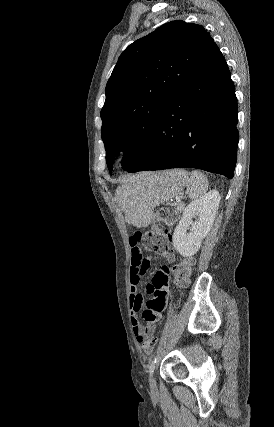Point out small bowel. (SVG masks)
I'll use <instances>...</instances> for the list:
<instances>
[{
  "label": "small bowel",
  "mask_w": 274,
  "mask_h": 427,
  "mask_svg": "<svg viewBox=\"0 0 274 427\" xmlns=\"http://www.w3.org/2000/svg\"><path fill=\"white\" fill-rule=\"evenodd\" d=\"M129 251L131 255V268H130V303L132 312V326L139 342L144 338H149V332L153 330H144L143 327L149 326V320H163V311H146L143 313V318L140 322L137 319V314L141 311L143 299L141 293L138 291L145 272L150 266V260L143 257L140 247L137 244L130 245ZM158 256L165 257L166 264H171L175 260V255L172 252L157 251ZM172 277L168 275V267L164 266L162 269H156L154 275L149 277L147 282L148 294H155L159 301H145V310H166V302L169 299L166 289L170 287Z\"/></svg>",
  "instance_id": "c3829d8e"
}]
</instances>
